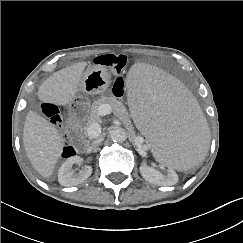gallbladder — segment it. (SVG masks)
I'll list each match as a JSON object with an SVG mask.
<instances>
[{"instance_id": "gallbladder-1", "label": "gallbladder", "mask_w": 243, "mask_h": 243, "mask_svg": "<svg viewBox=\"0 0 243 243\" xmlns=\"http://www.w3.org/2000/svg\"><path fill=\"white\" fill-rule=\"evenodd\" d=\"M40 109V107L39 106H36V110L38 111Z\"/></svg>"}]
</instances>
